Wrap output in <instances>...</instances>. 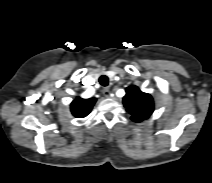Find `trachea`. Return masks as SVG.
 Masks as SVG:
<instances>
[{
  "instance_id": "1",
  "label": "trachea",
  "mask_w": 212,
  "mask_h": 183,
  "mask_svg": "<svg viewBox=\"0 0 212 183\" xmlns=\"http://www.w3.org/2000/svg\"><path fill=\"white\" fill-rule=\"evenodd\" d=\"M99 83H100L102 86H107V85L109 84L108 77H107L106 75L100 76V78H99Z\"/></svg>"
}]
</instances>
